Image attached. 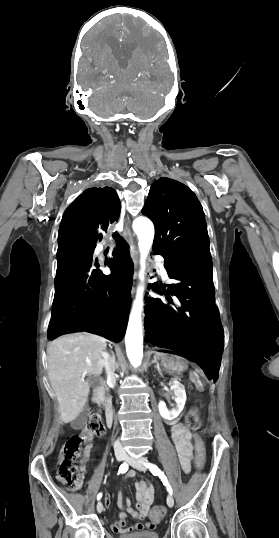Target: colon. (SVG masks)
<instances>
[{
  "label": "colon",
  "mask_w": 279,
  "mask_h": 538,
  "mask_svg": "<svg viewBox=\"0 0 279 538\" xmlns=\"http://www.w3.org/2000/svg\"><path fill=\"white\" fill-rule=\"evenodd\" d=\"M186 424L189 429L196 431L199 429L201 422L197 409L193 408L186 414ZM105 430V426L101 417L98 414H92L87 425L82 431L69 438L60 450L57 476L70 489H79L83 483L84 472L76 464L77 458L80 456L82 447L89 443L95 436L101 435ZM194 451L195 461L199 469L205 465L206 451L205 445L201 437L194 436ZM166 509L162 505L155 506L151 511V519L154 522L160 521L165 515Z\"/></svg>",
  "instance_id": "1"
}]
</instances>
